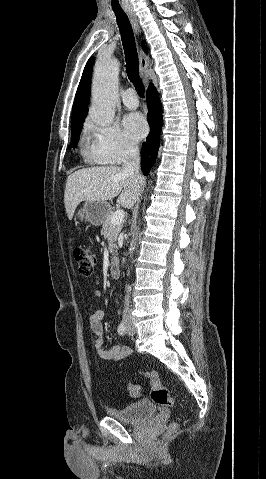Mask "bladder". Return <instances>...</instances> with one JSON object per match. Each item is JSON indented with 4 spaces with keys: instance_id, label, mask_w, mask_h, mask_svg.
I'll use <instances>...</instances> for the list:
<instances>
[{
    "instance_id": "bladder-1",
    "label": "bladder",
    "mask_w": 266,
    "mask_h": 479,
    "mask_svg": "<svg viewBox=\"0 0 266 479\" xmlns=\"http://www.w3.org/2000/svg\"><path fill=\"white\" fill-rule=\"evenodd\" d=\"M108 415L116 418L120 422L136 424L156 414L154 402L148 400H139L128 403L121 408H108Z\"/></svg>"
}]
</instances>
